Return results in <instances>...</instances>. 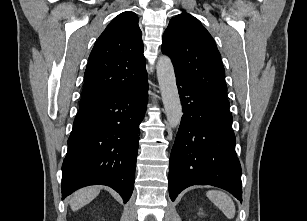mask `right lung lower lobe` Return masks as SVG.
I'll return each mask as SVG.
<instances>
[{
	"label": "right lung lower lobe",
	"instance_id": "obj_1",
	"mask_svg": "<svg viewBox=\"0 0 307 221\" xmlns=\"http://www.w3.org/2000/svg\"><path fill=\"white\" fill-rule=\"evenodd\" d=\"M147 78L137 87L79 109L62 165V199L94 184L132 195L139 124L148 100Z\"/></svg>",
	"mask_w": 307,
	"mask_h": 221
}]
</instances>
